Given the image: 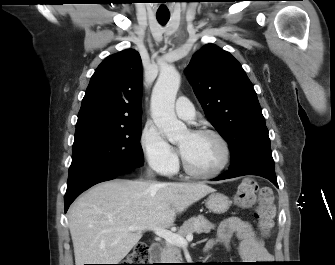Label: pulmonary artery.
Instances as JSON below:
<instances>
[{"label": "pulmonary artery", "mask_w": 335, "mask_h": 265, "mask_svg": "<svg viewBox=\"0 0 335 265\" xmlns=\"http://www.w3.org/2000/svg\"><path fill=\"white\" fill-rule=\"evenodd\" d=\"M176 114L185 120H192L195 116V110L192 103L186 97H179L175 104Z\"/></svg>", "instance_id": "1"}]
</instances>
